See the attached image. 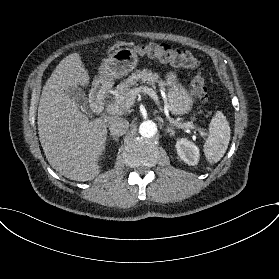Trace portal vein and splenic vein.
<instances>
[{
  "label": "portal vein and splenic vein",
  "instance_id": "obj_1",
  "mask_svg": "<svg viewBox=\"0 0 279 279\" xmlns=\"http://www.w3.org/2000/svg\"><path fill=\"white\" fill-rule=\"evenodd\" d=\"M140 92L147 93L150 97L153 98V100L155 102H158V96H157L156 92L152 88H149L147 86H143V87L140 86V87H137V88H135L133 90V93L135 95H137ZM106 111L109 114H117V113H119V110L117 109V107L115 105H112V104L107 106ZM167 118H168L170 123L174 124L178 128H181V129L182 128L194 129V125L191 122L178 123V122L174 121L172 118H170L169 116H167Z\"/></svg>",
  "mask_w": 279,
  "mask_h": 279
}]
</instances>
